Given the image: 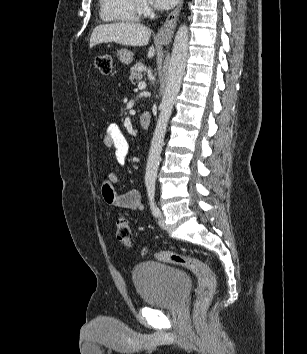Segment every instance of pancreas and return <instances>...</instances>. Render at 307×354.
<instances>
[{
  "instance_id": "pancreas-1",
  "label": "pancreas",
  "mask_w": 307,
  "mask_h": 354,
  "mask_svg": "<svg viewBox=\"0 0 307 354\" xmlns=\"http://www.w3.org/2000/svg\"><path fill=\"white\" fill-rule=\"evenodd\" d=\"M144 71H146V67L142 63L135 64L129 72L130 81L140 80Z\"/></svg>"
}]
</instances>
